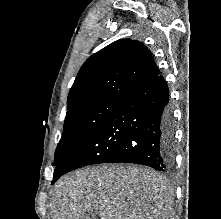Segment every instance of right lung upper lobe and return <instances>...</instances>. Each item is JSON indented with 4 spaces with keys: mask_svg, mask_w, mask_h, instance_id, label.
<instances>
[{
    "mask_svg": "<svg viewBox=\"0 0 221 219\" xmlns=\"http://www.w3.org/2000/svg\"><path fill=\"white\" fill-rule=\"evenodd\" d=\"M159 75L148 48L136 40L121 39L89 57L72 85L67 109L102 99H123Z\"/></svg>",
    "mask_w": 221,
    "mask_h": 219,
    "instance_id": "right-lung-upper-lobe-1",
    "label": "right lung upper lobe"
}]
</instances>
